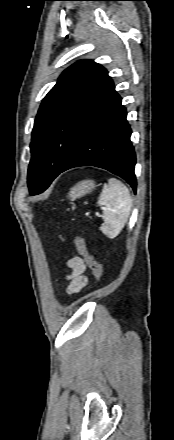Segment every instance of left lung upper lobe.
Wrapping results in <instances>:
<instances>
[{
	"instance_id": "obj_1",
	"label": "left lung upper lobe",
	"mask_w": 174,
	"mask_h": 440,
	"mask_svg": "<svg viewBox=\"0 0 174 440\" xmlns=\"http://www.w3.org/2000/svg\"><path fill=\"white\" fill-rule=\"evenodd\" d=\"M112 85L106 69L92 60L78 61L61 74L34 123L27 177L31 195L43 192L58 176L88 117Z\"/></svg>"
}]
</instances>
